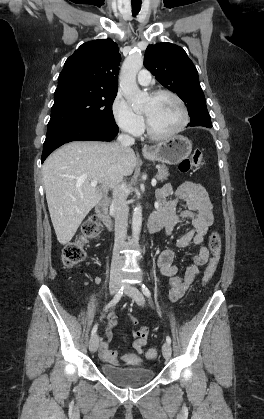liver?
<instances>
[{"label":"liver","mask_w":264,"mask_h":419,"mask_svg":"<svg viewBox=\"0 0 264 419\" xmlns=\"http://www.w3.org/2000/svg\"><path fill=\"white\" fill-rule=\"evenodd\" d=\"M134 151L116 142L75 141L52 153L42 166L50 217L59 243L71 241L90 210L109 189L133 173ZM99 187H91L92 181Z\"/></svg>","instance_id":"obj_1"}]
</instances>
